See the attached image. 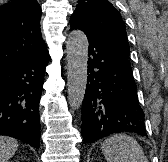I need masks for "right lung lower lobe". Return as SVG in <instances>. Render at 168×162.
<instances>
[{
	"mask_svg": "<svg viewBox=\"0 0 168 162\" xmlns=\"http://www.w3.org/2000/svg\"><path fill=\"white\" fill-rule=\"evenodd\" d=\"M49 59L44 54L0 71V135L40 146L39 101Z\"/></svg>",
	"mask_w": 168,
	"mask_h": 162,
	"instance_id": "98d812e1",
	"label": "right lung lower lobe"
}]
</instances>
